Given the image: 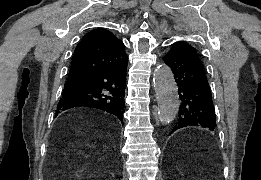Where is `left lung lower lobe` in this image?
Segmentation results:
<instances>
[{"label": "left lung lower lobe", "mask_w": 261, "mask_h": 180, "mask_svg": "<svg viewBox=\"0 0 261 180\" xmlns=\"http://www.w3.org/2000/svg\"><path fill=\"white\" fill-rule=\"evenodd\" d=\"M163 60L172 69L179 87V119L171 133L190 125L214 130L215 110L201 61L196 59L189 48L176 43Z\"/></svg>", "instance_id": "obj_1"}]
</instances>
